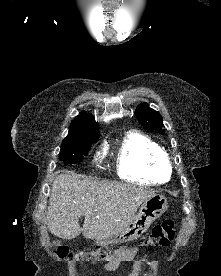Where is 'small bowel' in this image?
<instances>
[{
	"label": "small bowel",
	"instance_id": "obj_1",
	"mask_svg": "<svg viewBox=\"0 0 221 276\" xmlns=\"http://www.w3.org/2000/svg\"><path fill=\"white\" fill-rule=\"evenodd\" d=\"M136 252H137L136 249L116 252L113 259H111L110 261H108L106 264L103 265V269L109 272L116 270L121 262L132 259L136 254ZM145 262H146V256L135 261L132 272L129 273L127 276H138V273L141 270L142 266L145 264Z\"/></svg>",
	"mask_w": 221,
	"mask_h": 276
}]
</instances>
